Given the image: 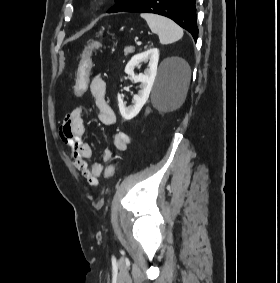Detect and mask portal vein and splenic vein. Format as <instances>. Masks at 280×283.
Listing matches in <instances>:
<instances>
[{"label": "portal vein and splenic vein", "mask_w": 280, "mask_h": 283, "mask_svg": "<svg viewBox=\"0 0 280 283\" xmlns=\"http://www.w3.org/2000/svg\"><path fill=\"white\" fill-rule=\"evenodd\" d=\"M136 44L137 45H141L142 43H141V41H137Z\"/></svg>", "instance_id": "1"}]
</instances>
